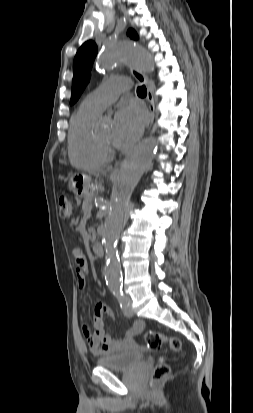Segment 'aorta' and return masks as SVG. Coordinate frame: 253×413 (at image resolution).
<instances>
[{
    "mask_svg": "<svg viewBox=\"0 0 253 413\" xmlns=\"http://www.w3.org/2000/svg\"><path fill=\"white\" fill-rule=\"evenodd\" d=\"M120 61L144 71H150L153 67L150 54L140 44L129 40L106 47L98 59V67L110 69ZM156 148L155 139L144 140L131 151L119 170L118 196L111 205L102 228V244L106 252L105 280L114 291L121 287V266L116 246L122 230L124 208L143 172L152 162Z\"/></svg>",
    "mask_w": 253,
    "mask_h": 413,
    "instance_id": "1",
    "label": "aorta"
}]
</instances>
